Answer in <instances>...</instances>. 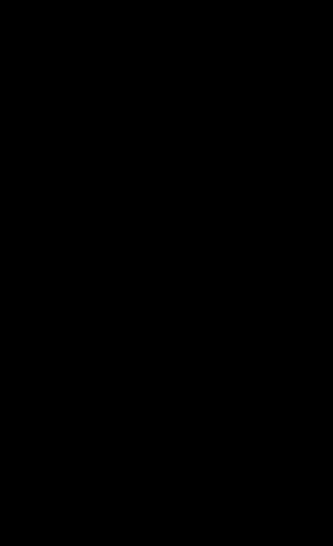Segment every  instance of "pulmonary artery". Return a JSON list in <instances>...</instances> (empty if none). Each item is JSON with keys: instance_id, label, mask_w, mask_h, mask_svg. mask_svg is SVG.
I'll use <instances>...</instances> for the list:
<instances>
[{"instance_id": "pulmonary-artery-1", "label": "pulmonary artery", "mask_w": 333, "mask_h": 546, "mask_svg": "<svg viewBox=\"0 0 333 546\" xmlns=\"http://www.w3.org/2000/svg\"><path fill=\"white\" fill-rule=\"evenodd\" d=\"M76 14H89L87 12H79V13H76Z\"/></svg>"}]
</instances>
